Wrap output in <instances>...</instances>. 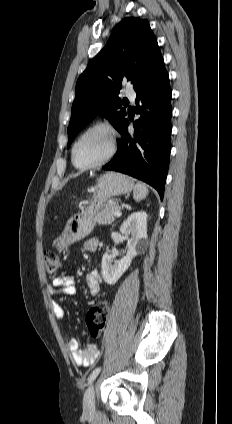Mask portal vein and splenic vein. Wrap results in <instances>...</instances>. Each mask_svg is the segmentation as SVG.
<instances>
[{
    "mask_svg": "<svg viewBox=\"0 0 232 424\" xmlns=\"http://www.w3.org/2000/svg\"><path fill=\"white\" fill-rule=\"evenodd\" d=\"M114 215L117 216V217H120L122 215V213H121L120 210H117V211L114 212Z\"/></svg>",
    "mask_w": 232,
    "mask_h": 424,
    "instance_id": "18ae733b",
    "label": "portal vein and splenic vein"
}]
</instances>
